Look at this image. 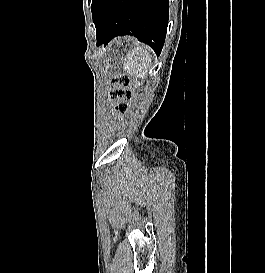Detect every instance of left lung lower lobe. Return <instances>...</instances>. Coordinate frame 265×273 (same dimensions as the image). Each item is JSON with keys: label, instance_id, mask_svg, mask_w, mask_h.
Listing matches in <instances>:
<instances>
[{"label": "left lung lower lobe", "instance_id": "1", "mask_svg": "<svg viewBox=\"0 0 265 273\" xmlns=\"http://www.w3.org/2000/svg\"><path fill=\"white\" fill-rule=\"evenodd\" d=\"M104 10L103 23L96 27L97 46L114 37L133 35L160 54L167 32L169 0H92Z\"/></svg>", "mask_w": 265, "mask_h": 273}]
</instances>
